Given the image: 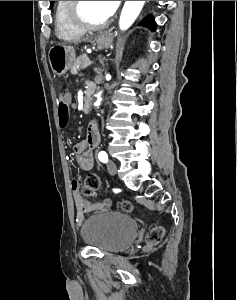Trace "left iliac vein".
Segmentation results:
<instances>
[{"label":"left iliac vein","mask_w":237,"mask_h":300,"mask_svg":"<svg viewBox=\"0 0 237 300\" xmlns=\"http://www.w3.org/2000/svg\"><path fill=\"white\" fill-rule=\"evenodd\" d=\"M107 169H108V172H109L110 175H112V176L116 175L117 165L112 160H110L108 162Z\"/></svg>","instance_id":"1"}]
</instances>
